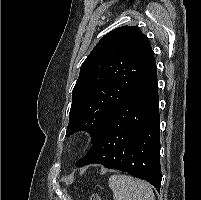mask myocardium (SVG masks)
<instances>
[{
  "mask_svg": "<svg viewBox=\"0 0 201 200\" xmlns=\"http://www.w3.org/2000/svg\"><path fill=\"white\" fill-rule=\"evenodd\" d=\"M83 140L84 139L82 136L75 138L74 141L72 142V148L76 149V148L80 147L83 143Z\"/></svg>",
  "mask_w": 201,
  "mask_h": 200,
  "instance_id": "obj_1",
  "label": "myocardium"
}]
</instances>
